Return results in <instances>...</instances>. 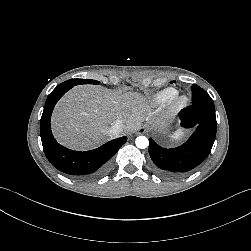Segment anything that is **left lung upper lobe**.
<instances>
[{
    "mask_svg": "<svg viewBox=\"0 0 251 251\" xmlns=\"http://www.w3.org/2000/svg\"><path fill=\"white\" fill-rule=\"evenodd\" d=\"M193 100L196 102L212 101L208 93L197 85H193Z\"/></svg>",
    "mask_w": 251,
    "mask_h": 251,
    "instance_id": "obj_1",
    "label": "left lung upper lobe"
}]
</instances>
